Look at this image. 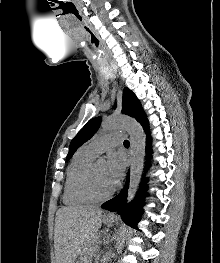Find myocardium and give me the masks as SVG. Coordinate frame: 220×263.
Masks as SVG:
<instances>
[{"mask_svg": "<svg viewBox=\"0 0 220 263\" xmlns=\"http://www.w3.org/2000/svg\"><path fill=\"white\" fill-rule=\"evenodd\" d=\"M96 162H92L87 169L85 170L82 180H81V189L83 193L92 201H103L110 198L116 191L117 186L114 185L111 190L107 193L99 194L95 188L93 183V173H94V166Z\"/></svg>", "mask_w": 220, "mask_h": 263, "instance_id": "1", "label": "myocardium"}]
</instances>
